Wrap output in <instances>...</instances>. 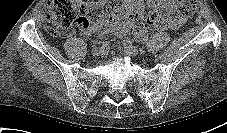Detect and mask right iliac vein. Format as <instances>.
Wrapping results in <instances>:
<instances>
[{
	"instance_id": "1",
	"label": "right iliac vein",
	"mask_w": 227,
	"mask_h": 133,
	"mask_svg": "<svg viewBox=\"0 0 227 133\" xmlns=\"http://www.w3.org/2000/svg\"><path fill=\"white\" fill-rule=\"evenodd\" d=\"M102 52H103V49H101L100 47H94L92 49V54L94 56H99L100 54H102Z\"/></svg>"
}]
</instances>
